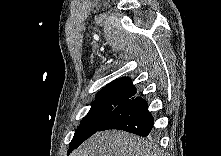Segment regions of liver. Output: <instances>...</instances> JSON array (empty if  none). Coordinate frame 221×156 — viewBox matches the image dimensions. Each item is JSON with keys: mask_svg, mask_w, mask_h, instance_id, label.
<instances>
[{"mask_svg": "<svg viewBox=\"0 0 221 156\" xmlns=\"http://www.w3.org/2000/svg\"><path fill=\"white\" fill-rule=\"evenodd\" d=\"M158 149L134 134L109 130L98 132L85 141L71 156H157Z\"/></svg>", "mask_w": 221, "mask_h": 156, "instance_id": "1", "label": "liver"}]
</instances>
